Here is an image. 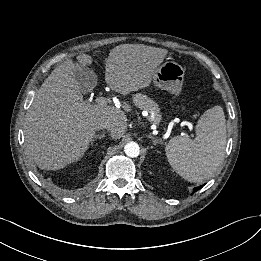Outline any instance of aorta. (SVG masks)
<instances>
[{"label":"aorta","instance_id":"1","mask_svg":"<svg viewBox=\"0 0 261 261\" xmlns=\"http://www.w3.org/2000/svg\"><path fill=\"white\" fill-rule=\"evenodd\" d=\"M125 154L128 157L135 158L140 154L139 145L135 142H129L124 147Z\"/></svg>","mask_w":261,"mask_h":261}]
</instances>
